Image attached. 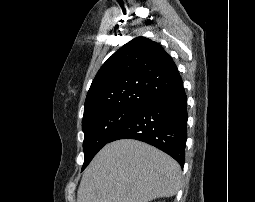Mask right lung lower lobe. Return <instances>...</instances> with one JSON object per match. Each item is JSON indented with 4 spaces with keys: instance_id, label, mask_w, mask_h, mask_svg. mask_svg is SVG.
Listing matches in <instances>:
<instances>
[{
    "instance_id": "98d812e1",
    "label": "right lung lower lobe",
    "mask_w": 255,
    "mask_h": 202,
    "mask_svg": "<svg viewBox=\"0 0 255 202\" xmlns=\"http://www.w3.org/2000/svg\"><path fill=\"white\" fill-rule=\"evenodd\" d=\"M187 117V96L181 86L142 105L109 142L119 139L146 142L172 156L183 167Z\"/></svg>"
}]
</instances>
